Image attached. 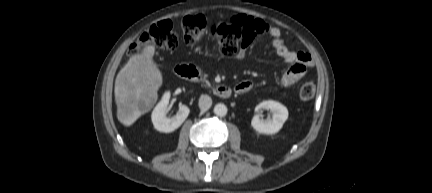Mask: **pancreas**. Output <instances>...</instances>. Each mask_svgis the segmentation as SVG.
I'll use <instances>...</instances> for the list:
<instances>
[{
  "mask_svg": "<svg viewBox=\"0 0 432 193\" xmlns=\"http://www.w3.org/2000/svg\"><path fill=\"white\" fill-rule=\"evenodd\" d=\"M207 86H209V87H210V86H211V84H210L209 82H207Z\"/></svg>",
  "mask_w": 432,
  "mask_h": 193,
  "instance_id": "cf45deb5",
  "label": "pancreas"
}]
</instances>
